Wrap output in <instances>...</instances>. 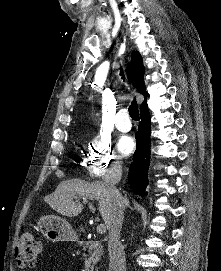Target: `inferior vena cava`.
<instances>
[{
    "label": "inferior vena cava",
    "mask_w": 221,
    "mask_h": 271,
    "mask_svg": "<svg viewBox=\"0 0 221 271\" xmlns=\"http://www.w3.org/2000/svg\"><path fill=\"white\" fill-rule=\"evenodd\" d=\"M116 169L122 171L121 163H116ZM104 183H106L108 191H111L112 195H114L112 217L109 221V225H107L109 231L108 251L110 267H112L113 271H126L125 251L123 243L120 241L125 209V197H123L113 181H106V179H104Z\"/></svg>",
    "instance_id": "inferior-vena-cava-1"
}]
</instances>
